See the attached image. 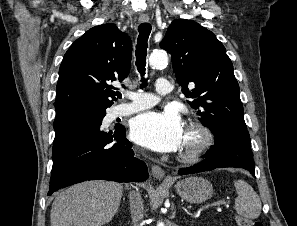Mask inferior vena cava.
I'll list each match as a JSON object with an SVG mask.
<instances>
[{
	"label": "inferior vena cava",
	"instance_id": "inferior-vena-cava-1",
	"mask_svg": "<svg viewBox=\"0 0 297 226\" xmlns=\"http://www.w3.org/2000/svg\"><path fill=\"white\" fill-rule=\"evenodd\" d=\"M129 202L132 221L134 226H137V224L142 220L144 212L143 202L139 192H130Z\"/></svg>",
	"mask_w": 297,
	"mask_h": 226
}]
</instances>
